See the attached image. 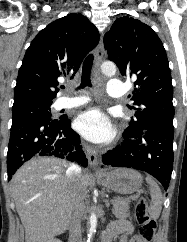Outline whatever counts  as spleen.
Here are the masks:
<instances>
[{"instance_id": "obj_1", "label": "spleen", "mask_w": 187, "mask_h": 242, "mask_svg": "<svg viewBox=\"0 0 187 242\" xmlns=\"http://www.w3.org/2000/svg\"><path fill=\"white\" fill-rule=\"evenodd\" d=\"M146 181L150 185V195L152 200L149 207V214L153 219H158L162 209L163 195L160 187L151 177H147Z\"/></svg>"}]
</instances>
